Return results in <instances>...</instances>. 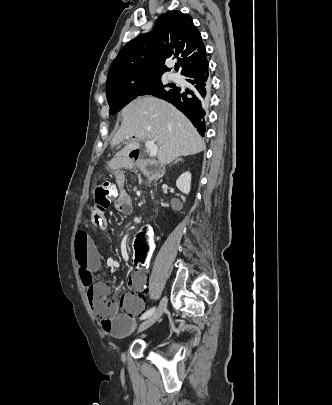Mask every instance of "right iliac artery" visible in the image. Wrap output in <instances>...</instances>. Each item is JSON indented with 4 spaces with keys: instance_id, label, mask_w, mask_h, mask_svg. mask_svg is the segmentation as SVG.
<instances>
[{
    "instance_id": "1",
    "label": "right iliac artery",
    "mask_w": 332,
    "mask_h": 405,
    "mask_svg": "<svg viewBox=\"0 0 332 405\" xmlns=\"http://www.w3.org/2000/svg\"><path fill=\"white\" fill-rule=\"evenodd\" d=\"M154 311H155V307L149 309L144 314H142V316L140 317V320L147 319L148 317H150L154 313Z\"/></svg>"
}]
</instances>
